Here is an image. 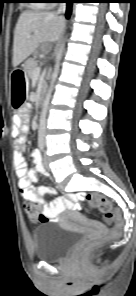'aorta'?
Listing matches in <instances>:
<instances>
[{"mask_svg":"<svg viewBox=\"0 0 136 296\" xmlns=\"http://www.w3.org/2000/svg\"><path fill=\"white\" fill-rule=\"evenodd\" d=\"M64 46H65V42L62 43V45L60 46V49H59V51L57 53L56 62H55V66H54V71H53L52 77H51L50 87H49L48 92L46 94V97L44 99L42 111H41V114H40L38 136H39V140H41V141H43L44 138H45L47 110H48L49 101H50V98H51L53 86H54L55 80H56V78L58 76L60 61L62 59Z\"/></svg>","mask_w":136,"mask_h":296,"instance_id":"aorta-1","label":"aorta"}]
</instances>
